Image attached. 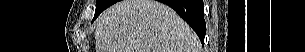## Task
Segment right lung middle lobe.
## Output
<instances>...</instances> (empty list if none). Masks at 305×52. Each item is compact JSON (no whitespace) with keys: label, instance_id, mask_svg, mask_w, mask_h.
<instances>
[{"label":"right lung middle lobe","instance_id":"right-lung-middle-lobe-1","mask_svg":"<svg viewBox=\"0 0 305 52\" xmlns=\"http://www.w3.org/2000/svg\"><path fill=\"white\" fill-rule=\"evenodd\" d=\"M110 2V0H97L96 1V10H95V15L94 19H96V16L98 13L106 6V4Z\"/></svg>","mask_w":305,"mask_h":52}]
</instances>
